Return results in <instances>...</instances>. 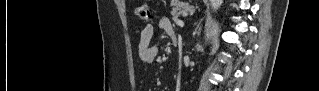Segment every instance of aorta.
Returning <instances> with one entry per match:
<instances>
[{
  "mask_svg": "<svg viewBox=\"0 0 319 91\" xmlns=\"http://www.w3.org/2000/svg\"><path fill=\"white\" fill-rule=\"evenodd\" d=\"M223 0H210L211 7L213 11H217L222 5Z\"/></svg>",
  "mask_w": 319,
  "mask_h": 91,
  "instance_id": "obj_1",
  "label": "aorta"
}]
</instances>
